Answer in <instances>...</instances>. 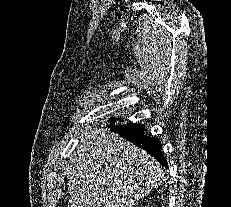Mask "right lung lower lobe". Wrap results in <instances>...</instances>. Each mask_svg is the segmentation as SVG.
<instances>
[{"mask_svg": "<svg viewBox=\"0 0 231 207\" xmlns=\"http://www.w3.org/2000/svg\"><path fill=\"white\" fill-rule=\"evenodd\" d=\"M111 130L119 133L123 138L143 148L151 154L158 162L167 167L166 158L161 154V143L158 139L148 137L144 133V125L129 122L126 125L114 126L115 119H110Z\"/></svg>", "mask_w": 231, "mask_h": 207, "instance_id": "obj_1", "label": "right lung lower lobe"}]
</instances>
